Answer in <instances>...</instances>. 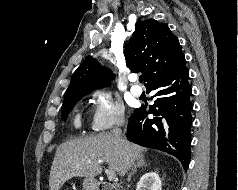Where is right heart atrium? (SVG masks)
Returning a JSON list of instances; mask_svg holds the SVG:
<instances>
[{
    "instance_id": "obj_1",
    "label": "right heart atrium",
    "mask_w": 238,
    "mask_h": 190,
    "mask_svg": "<svg viewBox=\"0 0 238 190\" xmlns=\"http://www.w3.org/2000/svg\"><path fill=\"white\" fill-rule=\"evenodd\" d=\"M90 103V126L93 131L104 132L124 123L125 111L123 105L115 101L108 92H94Z\"/></svg>"
}]
</instances>
